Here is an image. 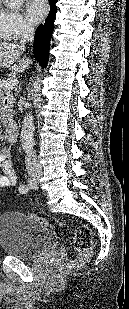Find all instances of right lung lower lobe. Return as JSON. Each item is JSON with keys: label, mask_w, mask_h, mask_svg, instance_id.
<instances>
[{"label": "right lung lower lobe", "mask_w": 129, "mask_h": 309, "mask_svg": "<svg viewBox=\"0 0 129 309\" xmlns=\"http://www.w3.org/2000/svg\"><path fill=\"white\" fill-rule=\"evenodd\" d=\"M49 0L50 12L44 25H40L34 36V56L42 67H45L48 60L50 38L54 30V18L57 12L56 2Z\"/></svg>", "instance_id": "98d812e1"}]
</instances>
